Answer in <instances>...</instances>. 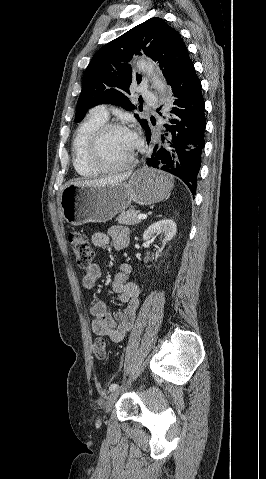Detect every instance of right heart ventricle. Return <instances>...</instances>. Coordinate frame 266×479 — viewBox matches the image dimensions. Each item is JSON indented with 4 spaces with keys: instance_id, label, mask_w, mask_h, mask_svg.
Here are the masks:
<instances>
[{
    "instance_id": "1",
    "label": "right heart ventricle",
    "mask_w": 266,
    "mask_h": 479,
    "mask_svg": "<svg viewBox=\"0 0 266 479\" xmlns=\"http://www.w3.org/2000/svg\"><path fill=\"white\" fill-rule=\"evenodd\" d=\"M105 122L106 118L91 112L75 132L72 143L73 165L76 172L83 177L92 178L100 174L89 164L86 151L91 135Z\"/></svg>"
}]
</instances>
